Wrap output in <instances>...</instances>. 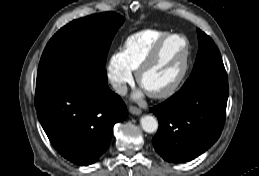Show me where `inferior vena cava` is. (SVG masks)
Returning a JSON list of instances; mask_svg holds the SVG:
<instances>
[{
  "mask_svg": "<svg viewBox=\"0 0 259 176\" xmlns=\"http://www.w3.org/2000/svg\"><path fill=\"white\" fill-rule=\"evenodd\" d=\"M112 87L119 95H126L127 93V85L125 83H122L120 81H112Z\"/></svg>",
  "mask_w": 259,
  "mask_h": 176,
  "instance_id": "inferior-vena-cava-1",
  "label": "inferior vena cava"
}]
</instances>
